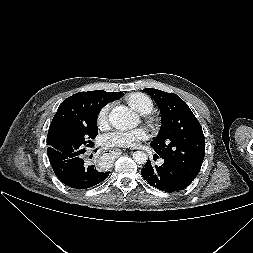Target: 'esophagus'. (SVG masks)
<instances>
[{
	"label": "esophagus",
	"instance_id": "esophagus-1",
	"mask_svg": "<svg viewBox=\"0 0 253 253\" xmlns=\"http://www.w3.org/2000/svg\"><path fill=\"white\" fill-rule=\"evenodd\" d=\"M105 152L106 154L120 155L122 153V150L118 148H110V149H107Z\"/></svg>",
	"mask_w": 253,
	"mask_h": 253
}]
</instances>
